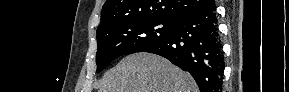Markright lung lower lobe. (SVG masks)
<instances>
[{"label": "right lung lower lobe", "mask_w": 289, "mask_h": 92, "mask_svg": "<svg viewBox=\"0 0 289 92\" xmlns=\"http://www.w3.org/2000/svg\"><path fill=\"white\" fill-rule=\"evenodd\" d=\"M215 3L174 21L172 34L139 52L167 58L197 82L200 92H221L224 58Z\"/></svg>", "instance_id": "1"}]
</instances>
